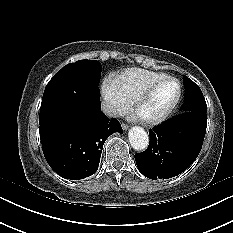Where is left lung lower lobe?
Returning a JSON list of instances; mask_svg holds the SVG:
<instances>
[{
	"mask_svg": "<svg viewBox=\"0 0 233 233\" xmlns=\"http://www.w3.org/2000/svg\"><path fill=\"white\" fill-rule=\"evenodd\" d=\"M206 113L183 112L150 130L148 148L134 156L139 171L153 180L168 179L184 172L201 151Z\"/></svg>",
	"mask_w": 233,
	"mask_h": 233,
	"instance_id": "left-lung-lower-lobe-1",
	"label": "left lung lower lobe"
}]
</instances>
